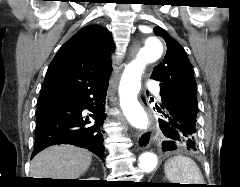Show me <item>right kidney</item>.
I'll use <instances>...</instances> for the list:
<instances>
[{
    "mask_svg": "<svg viewBox=\"0 0 240 187\" xmlns=\"http://www.w3.org/2000/svg\"><path fill=\"white\" fill-rule=\"evenodd\" d=\"M88 180H98L97 178H89Z\"/></svg>",
    "mask_w": 240,
    "mask_h": 187,
    "instance_id": "ca27d5eb",
    "label": "right kidney"
}]
</instances>
